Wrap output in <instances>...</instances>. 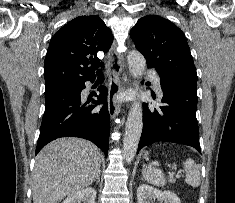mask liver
<instances>
[{
	"label": "liver",
	"mask_w": 235,
	"mask_h": 203,
	"mask_svg": "<svg viewBox=\"0 0 235 203\" xmlns=\"http://www.w3.org/2000/svg\"><path fill=\"white\" fill-rule=\"evenodd\" d=\"M101 152L90 141L67 137L47 144L37 155L33 203H59L92 184L100 173Z\"/></svg>",
	"instance_id": "6515ba94"
}]
</instances>
